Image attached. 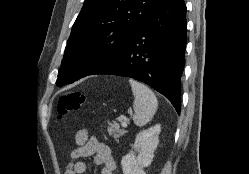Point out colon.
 I'll use <instances>...</instances> for the list:
<instances>
[{
    "mask_svg": "<svg viewBox=\"0 0 249 174\" xmlns=\"http://www.w3.org/2000/svg\"><path fill=\"white\" fill-rule=\"evenodd\" d=\"M86 101L85 94L79 90H73L60 96L58 101V112L65 115L70 112L79 111Z\"/></svg>",
    "mask_w": 249,
    "mask_h": 174,
    "instance_id": "colon-1",
    "label": "colon"
}]
</instances>
